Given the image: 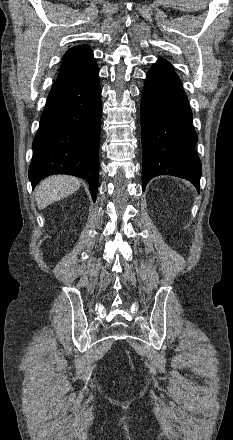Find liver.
<instances>
[{
	"label": "liver",
	"instance_id": "liver-1",
	"mask_svg": "<svg viewBox=\"0 0 233 440\" xmlns=\"http://www.w3.org/2000/svg\"><path fill=\"white\" fill-rule=\"evenodd\" d=\"M81 180L67 175H54L45 178L35 189V199L39 209L59 201L77 191Z\"/></svg>",
	"mask_w": 233,
	"mask_h": 440
}]
</instances>
